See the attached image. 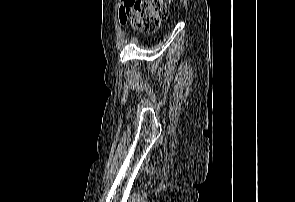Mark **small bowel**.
<instances>
[{
	"mask_svg": "<svg viewBox=\"0 0 295 202\" xmlns=\"http://www.w3.org/2000/svg\"><path fill=\"white\" fill-rule=\"evenodd\" d=\"M126 6V2L125 0L123 1V4H122V8H124Z\"/></svg>",
	"mask_w": 295,
	"mask_h": 202,
	"instance_id": "1",
	"label": "small bowel"
}]
</instances>
